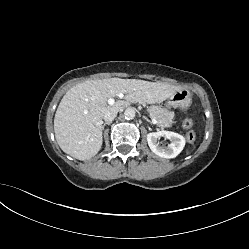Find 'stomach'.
<instances>
[{"label":"stomach","mask_w":249,"mask_h":249,"mask_svg":"<svg viewBox=\"0 0 249 249\" xmlns=\"http://www.w3.org/2000/svg\"><path fill=\"white\" fill-rule=\"evenodd\" d=\"M176 96V93H174L168 100L167 102V106H171L175 101H174V97Z\"/></svg>","instance_id":"stomach-1"}]
</instances>
